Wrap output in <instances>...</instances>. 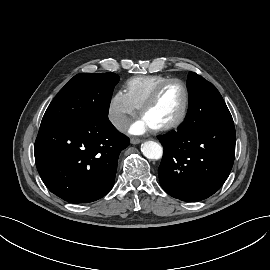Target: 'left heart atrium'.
Wrapping results in <instances>:
<instances>
[{
    "mask_svg": "<svg viewBox=\"0 0 270 270\" xmlns=\"http://www.w3.org/2000/svg\"><path fill=\"white\" fill-rule=\"evenodd\" d=\"M152 129L153 127L147 121L140 118L131 124L129 132L134 135H141Z\"/></svg>",
    "mask_w": 270,
    "mask_h": 270,
    "instance_id": "left-heart-atrium-1",
    "label": "left heart atrium"
}]
</instances>
